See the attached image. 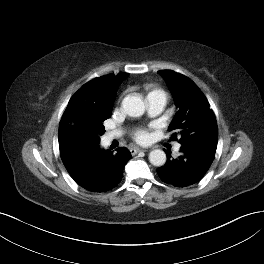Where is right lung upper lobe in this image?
<instances>
[{
  "label": "right lung upper lobe",
  "mask_w": 264,
  "mask_h": 264,
  "mask_svg": "<svg viewBox=\"0 0 264 264\" xmlns=\"http://www.w3.org/2000/svg\"><path fill=\"white\" fill-rule=\"evenodd\" d=\"M128 73L110 74L94 79L79 89L70 99L59 125V142L77 123L94 118L112 109L119 85Z\"/></svg>",
  "instance_id": "obj_1"
}]
</instances>
